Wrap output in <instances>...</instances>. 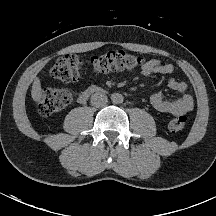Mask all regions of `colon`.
<instances>
[{"label":"colon","mask_w":216,"mask_h":216,"mask_svg":"<svg viewBox=\"0 0 216 216\" xmlns=\"http://www.w3.org/2000/svg\"><path fill=\"white\" fill-rule=\"evenodd\" d=\"M143 59L124 51H112L103 55L82 58L77 54H66L57 59L50 70V76L62 82L79 80L90 70L94 73H106L114 70H128L140 67ZM74 99L72 91L67 89L44 88L39 95V112L49 116L68 107ZM187 116L179 115L169 123V129L178 132L185 129Z\"/></svg>","instance_id":"obj_1"}]
</instances>
